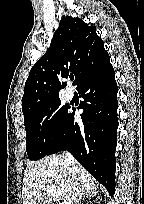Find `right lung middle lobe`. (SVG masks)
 I'll return each mask as SVG.
<instances>
[{
  "label": "right lung middle lobe",
  "instance_id": "obj_1",
  "mask_svg": "<svg viewBox=\"0 0 144 204\" xmlns=\"http://www.w3.org/2000/svg\"><path fill=\"white\" fill-rule=\"evenodd\" d=\"M68 115V107L61 106V101L57 98L24 117L29 159L39 160L48 155L58 140Z\"/></svg>",
  "mask_w": 144,
  "mask_h": 204
}]
</instances>
